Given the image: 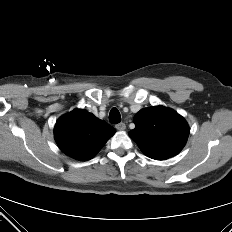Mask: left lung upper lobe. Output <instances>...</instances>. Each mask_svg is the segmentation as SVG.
I'll return each instance as SVG.
<instances>
[{"instance_id":"1","label":"left lung upper lobe","mask_w":232,"mask_h":232,"mask_svg":"<svg viewBox=\"0 0 232 232\" xmlns=\"http://www.w3.org/2000/svg\"><path fill=\"white\" fill-rule=\"evenodd\" d=\"M134 123L135 129L129 132V136L146 156L156 160L178 154L190 132L181 115L163 106L140 110L134 117Z\"/></svg>"}]
</instances>
